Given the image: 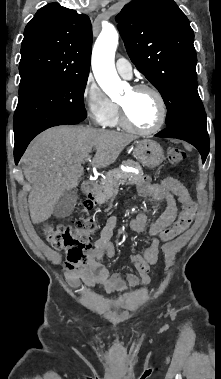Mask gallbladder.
<instances>
[{
    "label": "gallbladder",
    "mask_w": 221,
    "mask_h": 379,
    "mask_svg": "<svg viewBox=\"0 0 221 379\" xmlns=\"http://www.w3.org/2000/svg\"><path fill=\"white\" fill-rule=\"evenodd\" d=\"M77 198L78 196L76 190L70 189L63 192L54 207V217L65 218L71 215L75 208Z\"/></svg>",
    "instance_id": "1"
}]
</instances>
